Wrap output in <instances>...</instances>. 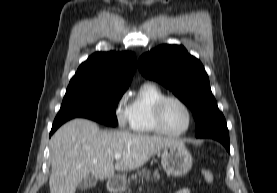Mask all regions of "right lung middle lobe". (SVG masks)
Instances as JSON below:
<instances>
[{"label": "right lung middle lobe", "mask_w": 277, "mask_h": 193, "mask_svg": "<svg viewBox=\"0 0 277 193\" xmlns=\"http://www.w3.org/2000/svg\"><path fill=\"white\" fill-rule=\"evenodd\" d=\"M124 91L86 88L67 89L56 120L88 118L108 126H116V106Z\"/></svg>", "instance_id": "right-lung-middle-lobe-1"}]
</instances>
